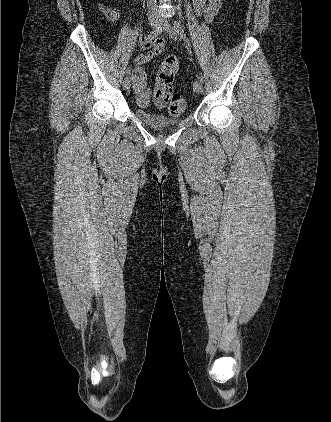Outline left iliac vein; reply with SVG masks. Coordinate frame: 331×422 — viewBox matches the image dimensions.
I'll return each mask as SVG.
<instances>
[{"instance_id": "4c4485c4", "label": "left iliac vein", "mask_w": 331, "mask_h": 422, "mask_svg": "<svg viewBox=\"0 0 331 422\" xmlns=\"http://www.w3.org/2000/svg\"><path fill=\"white\" fill-rule=\"evenodd\" d=\"M159 22H160V25L163 27L164 31L167 34H169V36L172 39L176 40L177 39V32L173 29V27L170 25V23L167 20L163 19V18H160L159 19ZM194 88H195V91L197 93H202L203 92V83L200 80V78H198L195 81Z\"/></svg>"}]
</instances>
